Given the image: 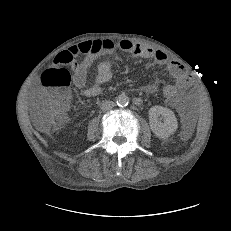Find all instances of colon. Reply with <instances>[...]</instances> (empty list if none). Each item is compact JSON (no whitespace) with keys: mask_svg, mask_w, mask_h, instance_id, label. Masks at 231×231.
Masks as SVG:
<instances>
[{"mask_svg":"<svg viewBox=\"0 0 231 231\" xmlns=\"http://www.w3.org/2000/svg\"><path fill=\"white\" fill-rule=\"evenodd\" d=\"M62 54L55 59V64H61ZM45 88V97L48 103L44 110V118L49 126H58L64 121L65 111L70 103L71 75L64 68H52L46 70L41 77ZM162 91L169 100L178 96V87L171 81H166L162 85Z\"/></svg>","mask_w":231,"mask_h":231,"instance_id":"5ec220e1","label":"colon"}]
</instances>
